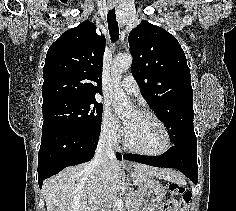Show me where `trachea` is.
Masks as SVG:
<instances>
[{
    "mask_svg": "<svg viewBox=\"0 0 236 211\" xmlns=\"http://www.w3.org/2000/svg\"><path fill=\"white\" fill-rule=\"evenodd\" d=\"M107 22L111 40L115 41L119 38V28L116 21L115 8L111 9L107 14Z\"/></svg>",
    "mask_w": 236,
    "mask_h": 211,
    "instance_id": "3493384b",
    "label": "trachea"
}]
</instances>
